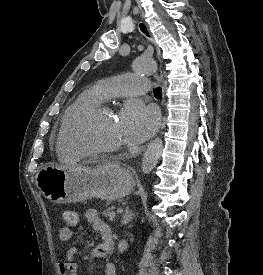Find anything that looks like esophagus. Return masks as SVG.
Masks as SVG:
<instances>
[{
  "label": "esophagus",
  "instance_id": "34e87169",
  "mask_svg": "<svg viewBox=\"0 0 263 275\" xmlns=\"http://www.w3.org/2000/svg\"><path fill=\"white\" fill-rule=\"evenodd\" d=\"M138 30L139 32L144 36L146 37L150 42L154 43L155 44V41L152 37V35L150 34L147 26L140 22L138 24ZM156 53H157V56H158V59L159 61H161V53H160V49L158 47H156ZM161 83H162V104L164 103V100H165V89H166V81L163 79V74H162V70L160 69V77H159ZM161 126V121H160V125H159V128Z\"/></svg>",
  "mask_w": 263,
  "mask_h": 275
}]
</instances>
